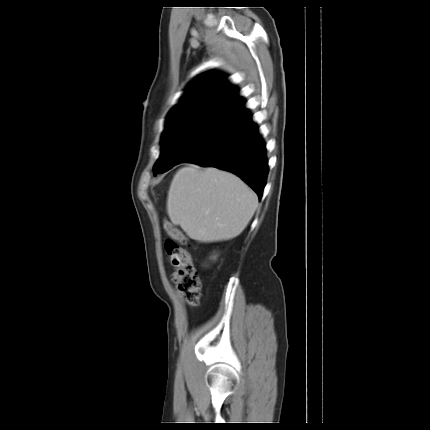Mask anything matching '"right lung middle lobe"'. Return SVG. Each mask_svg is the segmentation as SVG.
<instances>
[{"mask_svg":"<svg viewBox=\"0 0 430 430\" xmlns=\"http://www.w3.org/2000/svg\"><path fill=\"white\" fill-rule=\"evenodd\" d=\"M242 117L220 102L185 108L169 114L162 137L161 156L154 175L164 173L230 130Z\"/></svg>","mask_w":430,"mask_h":430,"instance_id":"obj_1","label":"right lung middle lobe"}]
</instances>
